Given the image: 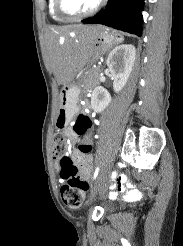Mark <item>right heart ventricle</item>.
<instances>
[{
	"mask_svg": "<svg viewBox=\"0 0 183 246\" xmlns=\"http://www.w3.org/2000/svg\"><path fill=\"white\" fill-rule=\"evenodd\" d=\"M48 9H49V14L50 16L56 20V21H63L64 19L62 17H60L56 10H55V2L54 0H49L48 1Z\"/></svg>",
	"mask_w": 183,
	"mask_h": 246,
	"instance_id": "1",
	"label": "right heart ventricle"
}]
</instances>
